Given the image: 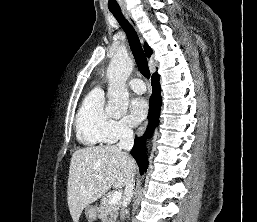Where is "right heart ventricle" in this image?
I'll return each instance as SVG.
<instances>
[{
	"instance_id": "1",
	"label": "right heart ventricle",
	"mask_w": 257,
	"mask_h": 222,
	"mask_svg": "<svg viewBox=\"0 0 257 222\" xmlns=\"http://www.w3.org/2000/svg\"><path fill=\"white\" fill-rule=\"evenodd\" d=\"M111 121L105 110L104 93L100 88L92 90L83 100L76 116V135L86 146L108 143L106 128Z\"/></svg>"
}]
</instances>
